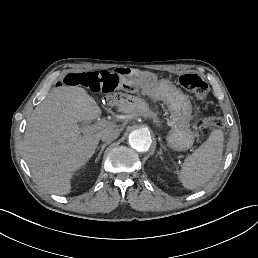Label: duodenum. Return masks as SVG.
I'll use <instances>...</instances> for the list:
<instances>
[{
	"label": "duodenum",
	"mask_w": 258,
	"mask_h": 258,
	"mask_svg": "<svg viewBox=\"0 0 258 258\" xmlns=\"http://www.w3.org/2000/svg\"><path fill=\"white\" fill-rule=\"evenodd\" d=\"M115 73L124 82H130L137 76L136 70L131 67H118L115 69Z\"/></svg>",
	"instance_id": "1"
}]
</instances>
